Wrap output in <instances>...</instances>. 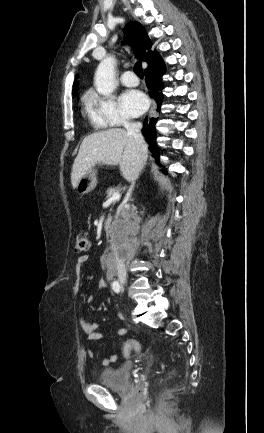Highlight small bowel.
Listing matches in <instances>:
<instances>
[{
  "label": "small bowel",
  "mask_w": 264,
  "mask_h": 433,
  "mask_svg": "<svg viewBox=\"0 0 264 433\" xmlns=\"http://www.w3.org/2000/svg\"><path fill=\"white\" fill-rule=\"evenodd\" d=\"M88 261V256L86 255H82L79 256L76 260V281H75V289H76V293L77 294H81L80 293V276H81V271L83 268V265ZM99 286L101 288H106V283L104 282V280L100 279L99 280ZM83 300L85 303H90L93 300V296L92 295H85L83 296ZM80 326L83 330V332L86 334L88 340L90 341H101L103 339L102 335L98 332V324L94 323V322H87L83 319L80 320ZM119 334H126V330L125 329H120L119 330ZM88 356L93 359L96 360L98 362H100L102 365L107 366L110 365L112 363H114L117 360V356L115 354L110 355L107 358L104 359H99L98 356L96 355V353L89 349L88 350Z\"/></svg>",
  "instance_id": "1"
}]
</instances>
